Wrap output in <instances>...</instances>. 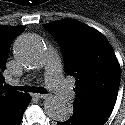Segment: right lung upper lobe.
<instances>
[{"label": "right lung upper lobe", "mask_w": 125, "mask_h": 125, "mask_svg": "<svg viewBox=\"0 0 125 125\" xmlns=\"http://www.w3.org/2000/svg\"><path fill=\"white\" fill-rule=\"evenodd\" d=\"M24 29L25 26L0 25V106L21 94V92H17L5 84L2 73L6 69L11 43Z\"/></svg>", "instance_id": "cb5924a9"}]
</instances>
